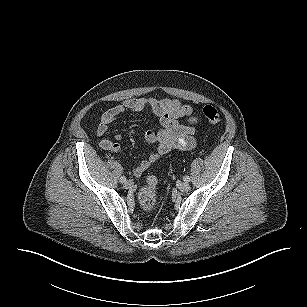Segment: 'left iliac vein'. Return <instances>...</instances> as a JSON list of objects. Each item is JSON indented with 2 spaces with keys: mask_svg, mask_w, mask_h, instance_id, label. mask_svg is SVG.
Wrapping results in <instances>:
<instances>
[{
  "mask_svg": "<svg viewBox=\"0 0 307 307\" xmlns=\"http://www.w3.org/2000/svg\"><path fill=\"white\" fill-rule=\"evenodd\" d=\"M190 185L187 182L180 183L178 185V189L182 192H188L190 190Z\"/></svg>",
  "mask_w": 307,
  "mask_h": 307,
  "instance_id": "4c4485c4",
  "label": "left iliac vein"
}]
</instances>
